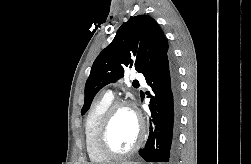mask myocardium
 I'll list each match as a JSON object with an SVG mask.
<instances>
[{
	"mask_svg": "<svg viewBox=\"0 0 251 164\" xmlns=\"http://www.w3.org/2000/svg\"><path fill=\"white\" fill-rule=\"evenodd\" d=\"M120 108L130 109L134 113L138 122V138L135 144L130 149L123 152H118V151L113 150L108 142V134H109L111 122L113 120L115 113ZM144 137H145L144 122L142 118L140 117V115L135 110V108L133 107V105L126 100H115L108 106V108L106 109V111L104 112L100 120L98 129H97V134H96V145H97L98 150L107 158L120 159V158L128 157L134 154L135 152H137L144 141Z\"/></svg>",
	"mask_w": 251,
	"mask_h": 164,
	"instance_id": "myocardium-1",
	"label": "myocardium"
}]
</instances>
